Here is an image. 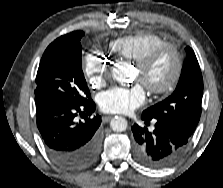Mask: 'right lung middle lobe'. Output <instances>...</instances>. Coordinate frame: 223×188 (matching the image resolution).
I'll return each mask as SVG.
<instances>
[{
    "instance_id": "dd1d6c3e",
    "label": "right lung middle lobe",
    "mask_w": 223,
    "mask_h": 188,
    "mask_svg": "<svg viewBox=\"0 0 223 188\" xmlns=\"http://www.w3.org/2000/svg\"><path fill=\"white\" fill-rule=\"evenodd\" d=\"M73 31L52 42L45 50L36 76L35 97H48L84 104L91 94L82 71L80 40Z\"/></svg>"
}]
</instances>
